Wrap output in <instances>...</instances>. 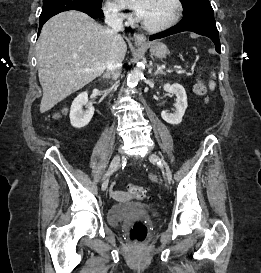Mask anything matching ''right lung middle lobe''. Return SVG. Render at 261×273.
<instances>
[{
	"label": "right lung middle lobe",
	"instance_id": "right-lung-middle-lobe-1",
	"mask_svg": "<svg viewBox=\"0 0 261 273\" xmlns=\"http://www.w3.org/2000/svg\"><path fill=\"white\" fill-rule=\"evenodd\" d=\"M89 4H94L99 7L102 5V0H85ZM53 2H56V4H59V0H43V11H51L55 9V4Z\"/></svg>",
	"mask_w": 261,
	"mask_h": 273
}]
</instances>
